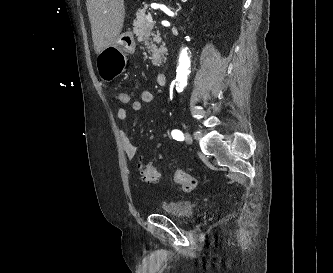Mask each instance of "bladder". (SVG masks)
<instances>
[{
	"instance_id": "obj_1",
	"label": "bladder",
	"mask_w": 333,
	"mask_h": 273,
	"mask_svg": "<svg viewBox=\"0 0 333 273\" xmlns=\"http://www.w3.org/2000/svg\"><path fill=\"white\" fill-rule=\"evenodd\" d=\"M162 211L169 217L179 222L185 223L192 218L194 206L191 202L184 200L175 202L169 208Z\"/></svg>"
}]
</instances>
